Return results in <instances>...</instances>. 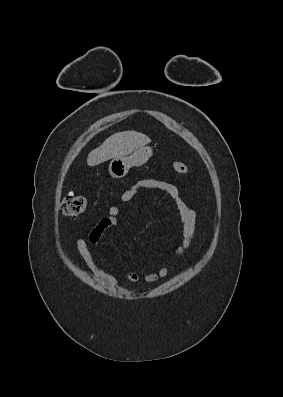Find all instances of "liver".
Instances as JSON below:
<instances>
[{
	"label": "liver",
	"instance_id": "obj_1",
	"mask_svg": "<svg viewBox=\"0 0 283 397\" xmlns=\"http://www.w3.org/2000/svg\"><path fill=\"white\" fill-rule=\"evenodd\" d=\"M150 142L148 136L136 131L115 133L88 154L87 165L96 166L113 158L125 157Z\"/></svg>",
	"mask_w": 283,
	"mask_h": 397
}]
</instances>
